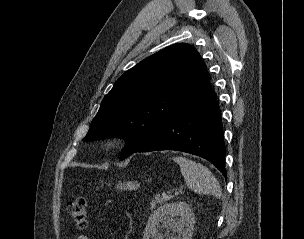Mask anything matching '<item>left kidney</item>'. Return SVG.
<instances>
[{
    "label": "left kidney",
    "instance_id": "1",
    "mask_svg": "<svg viewBox=\"0 0 304 239\" xmlns=\"http://www.w3.org/2000/svg\"><path fill=\"white\" fill-rule=\"evenodd\" d=\"M194 222L193 211L187 203L173 202L166 204L150 215L143 239H163L164 235L158 232L159 223L178 234V236L171 235V239H191Z\"/></svg>",
    "mask_w": 304,
    "mask_h": 239
}]
</instances>
